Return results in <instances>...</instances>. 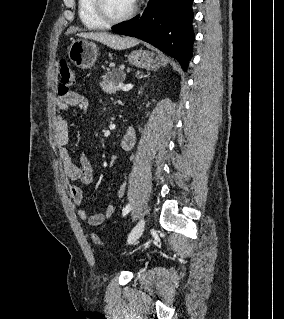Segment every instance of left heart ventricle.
Instances as JSON below:
<instances>
[{
	"label": "left heart ventricle",
	"instance_id": "left-heart-ventricle-1",
	"mask_svg": "<svg viewBox=\"0 0 284 319\" xmlns=\"http://www.w3.org/2000/svg\"><path fill=\"white\" fill-rule=\"evenodd\" d=\"M108 13L113 17H119L127 13L132 5V0H105Z\"/></svg>",
	"mask_w": 284,
	"mask_h": 319
}]
</instances>
